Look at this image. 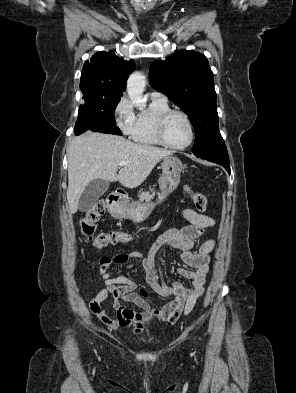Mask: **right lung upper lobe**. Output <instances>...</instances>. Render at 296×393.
Returning a JSON list of instances; mask_svg holds the SVG:
<instances>
[{"instance_id":"cb5924a9","label":"right lung upper lobe","mask_w":296,"mask_h":393,"mask_svg":"<svg viewBox=\"0 0 296 393\" xmlns=\"http://www.w3.org/2000/svg\"><path fill=\"white\" fill-rule=\"evenodd\" d=\"M135 68L133 60L124 61L112 51L97 52L86 61L80 78V89L86 99L120 97L126 81Z\"/></svg>"}]
</instances>
